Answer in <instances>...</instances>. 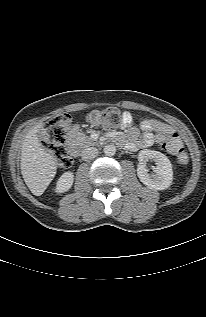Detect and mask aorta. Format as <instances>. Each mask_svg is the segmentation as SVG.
<instances>
[{
    "label": "aorta",
    "mask_w": 206,
    "mask_h": 317,
    "mask_svg": "<svg viewBox=\"0 0 206 317\" xmlns=\"http://www.w3.org/2000/svg\"><path fill=\"white\" fill-rule=\"evenodd\" d=\"M104 153L107 156H113L116 153V147L114 145H106L104 147Z\"/></svg>",
    "instance_id": "1"
}]
</instances>
